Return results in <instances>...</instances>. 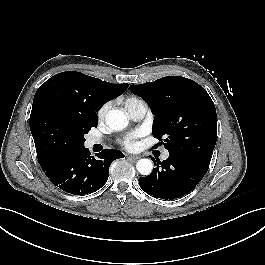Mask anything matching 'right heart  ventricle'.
<instances>
[{
	"mask_svg": "<svg viewBox=\"0 0 265 265\" xmlns=\"http://www.w3.org/2000/svg\"><path fill=\"white\" fill-rule=\"evenodd\" d=\"M142 103L145 102L137 96H128L124 102L125 107L127 108L128 111H130L132 108Z\"/></svg>",
	"mask_w": 265,
	"mask_h": 265,
	"instance_id": "1",
	"label": "right heart ventricle"
}]
</instances>
